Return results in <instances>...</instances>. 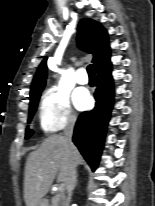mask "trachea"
Instances as JSON below:
<instances>
[{
    "label": "trachea",
    "mask_w": 155,
    "mask_h": 206,
    "mask_svg": "<svg viewBox=\"0 0 155 206\" xmlns=\"http://www.w3.org/2000/svg\"><path fill=\"white\" fill-rule=\"evenodd\" d=\"M87 72H88V75L89 77H95V67L93 64H90L88 67H87Z\"/></svg>",
    "instance_id": "1"
}]
</instances>
